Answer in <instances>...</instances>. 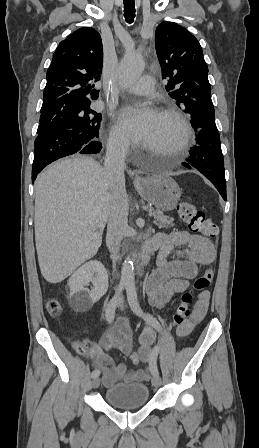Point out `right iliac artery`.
Masks as SVG:
<instances>
[{
  "mask_svg": "<svg viewBox=\"0 0 259 448\" xmlns=\"http://www.w3.org/2000/svg\"><path fill=\"white\" fill-rule=\"evenodd\" d=\"M125 287H126L125 284H121L119 286V289H118L116 295L110 300V302L108 303V305L106 307L105 316H106V320L109 323H112L113 320H114L115 310H116V307H117L119 296H120V293L124 290ZM99 375H100V371L99 370H94L91 373V376L93 378L98 377Z\"/></svg>",
  "mask_w": 259,
  "mask_h": 448,
  "instance_id": "82829eb1",
  "label": "right iliac artery"
}]
</instances>
